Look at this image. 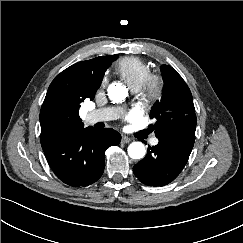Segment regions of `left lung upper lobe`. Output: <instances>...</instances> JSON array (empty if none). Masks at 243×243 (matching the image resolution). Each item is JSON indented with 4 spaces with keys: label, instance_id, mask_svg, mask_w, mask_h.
Instances as JSON below:
<instances>
[{
    "label": "left lung upper lobe",
    "instance_id": "left-lung-upper-lobe-1",
    "mask_svg": "<svg viewBox=\"0 0 243 243\" xmlns=\"http://www.w3.org/2000/svg\"><path fill=\"white\" fill-rule=\"evenodd\" d=\"M163 94L150 113L152 129L160 141L173 143L189 152L195 142L196 115L192 94L183 78L170 66L162 67Z\"/></svg>",
    "mask_w": 243,
    "mask_h": 243
}]
</instances>
